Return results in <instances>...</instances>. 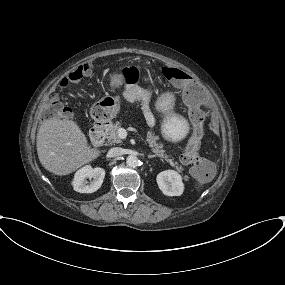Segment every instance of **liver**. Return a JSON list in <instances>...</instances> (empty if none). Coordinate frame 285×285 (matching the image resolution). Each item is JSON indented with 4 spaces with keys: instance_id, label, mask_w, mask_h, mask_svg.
Wrapping results in <instances>:
<instances>
[{
    "instance_id": "6515ba94",
    "label": "liver",
    "mask_w": 285,
    "mask_h": 285,
    "mask_svg": "<svg viewBox=\"0 0 285 285\" xmlns=\"http://www.w3.org/2000/svg\"><path fill=\"white\" fill-rule=\"evenodd\" d=\"M36 146L42 166L58 176L74 172L101 154L88 145L85 134L68 118L44 121L37 133Z\"/></svg>"
}]
</instances>
